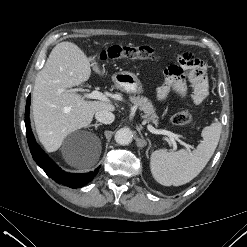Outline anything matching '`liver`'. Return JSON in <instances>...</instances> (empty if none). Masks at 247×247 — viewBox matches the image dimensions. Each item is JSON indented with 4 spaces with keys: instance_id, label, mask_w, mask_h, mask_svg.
I'll use <instances>...</instances> for the list:
<instances>
[{
    "instance_id": "obj_1",
    "label": "liver",
    "mask_w": 247,
    "mask_h": 247,
    "mask_svg": "<svg viewBox=\"0 0 247 247\" xmlns=\"http://www.w3.org/2000/svg\"><path fill=\"white\" fill-rule=\"evenodd\" d=\"M90 66L99 75L104 74L95 62V56L88 58L76 44L65 41L52 49L37 74L32 92V110L39 140L48 152L58 150L68 134L86 128L97 111L115 110L108 102L85 100L76 92H71L72 87L89 79ZM100 153L98 143L92 155L71 159L68 163L77 168H90L97 163Z\"/></svg>"
}]
</instances>
